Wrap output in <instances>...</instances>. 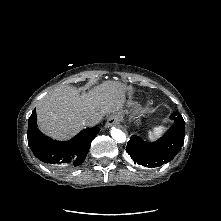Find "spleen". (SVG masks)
I'll return each mask as SVG.
<instances>
[{
  "label": "spleen",
  "mask_w": 221,
  "mask_h": 221,
  "mask_svg": "<svg viewBox=\"0 0 221 221\" xmlns=\"http://www.w3.org/2000/svg\"><path fill=\"white\" fill-rule=\"evenodd\" d=\"M164 127L163 126H158L154 128V133H152L151 131L148 132V138L150 140L153 139L154 136H159L161 134V132L163 131Z\"/></svg>",
  "instance_id": "spleen-1"
}]
</instances>
